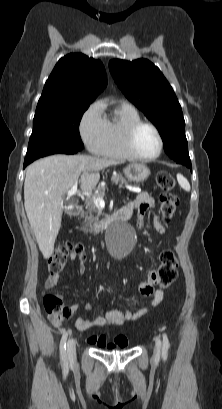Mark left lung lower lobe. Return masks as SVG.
<instances>
[{"instance_id":"0a47b994","label":"left lung lower lobe","mask_w":222,"mask_h":409,"mask_svg":"<svg viewBox=\"0 0 222 409\" xmlns=\"http://www.w3.org/2000/svg\"><path fill=\"white\" fill-rule=\"evenodd\" d=\"M176 162L179 163V164L185 165L186 167H188L192 171L190 159H182V160H179V161H176Z\"/></svg>"}]
</instances>
